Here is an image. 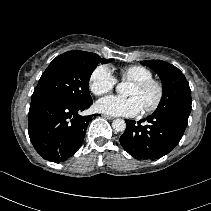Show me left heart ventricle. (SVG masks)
Returning a JSON list of instances; mask_svg holds the SVG:
<instances>
[{
  "instance_id": "obj_1",
  "label": "left heart ventricle",
  "mask_w": 211,
  "mask_h": 211,
  "mask_svg": "<svg viewBox=\"0 0 211 211\" xmlns=\"http://www.w3.org/2000/svg\"><path fill=\"white\" fill-rule=\"evenodd\" d=\"M128 94L131 97H136L140 101L142 107L144 108L155 101L157 96V90L155 87L140 89L133 84Z\"/></svg>"
}]
</instances>
